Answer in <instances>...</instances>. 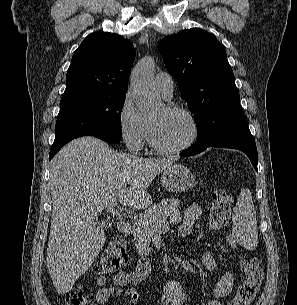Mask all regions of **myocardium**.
I'll return each mask as SVG.
<instances>
[{
    "label": "myocardium",
    "instance_id": "1",
    "mask_svg": "<svg viewBox=\"0 0 297 305\" xmlns=\"http://www.w3.org/2000/svg\"><path fill=\"white\" fill-rule=\"evenodd\" d=\"M165 109L171 113H178V114L184 115L189 120V122L191 124V128H192L191 136L184 144H182L180 146L173 147V148H166L157 142L153 125L151 124V122H149V138H148L149 144L154 151H156L157 153L162 154V155H174V154L182 153V152L186 151L187 149H189L198 139V136H199L198 121H197L195 115L190 110H188L182 106L170 104V105H167L165 107Z\"/></svg>",
    "mask_w": 297,
    "mask_h": 305
}]
</instances>
